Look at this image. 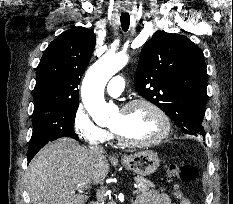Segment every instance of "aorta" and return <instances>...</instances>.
<instances>
[{
	"mask_svg": "<svg viewBox=\"0 0 233 204\" xmlns=\"http://www.w3.org/2000/svg\"><path fill=\"white\" fill-rule=\"evenodd\" d=\"M128 62L124 53L105 54L87 71L81 87L82 102L95 123L105 126L110 117L117 112V107L106 103L104 88L109 79L120 71Z\"/></svg>",
	"mask_w": 233,
	"mask_h": 204,
	"instance_id": "1",
	"label": "aorta"
}]
</instances>
